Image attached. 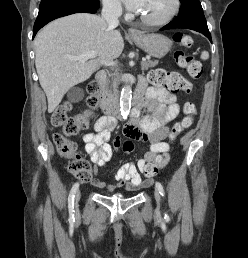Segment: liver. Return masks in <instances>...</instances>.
Listing matches in <instances>:
<instances>
[{
  "instance_id": "obj_1",
  "label": "liver",
  "mask_w": 248,
  "mask_h": 258,
  "mask_svg": "<svg viewBox=\"0 0 248 258\" xmlns=\"http://www.w3.org/2000/svg\"><path fill=\"white\" fill-rule=\"evenodd\" d=\"M124 49L119 30L110 29L98 15L77 13L46 25L35 37V65L52 113L73 86L82 83ZM93 52L95 58L80 62L67 58Z\"/></svg>"
}]
</instances>
